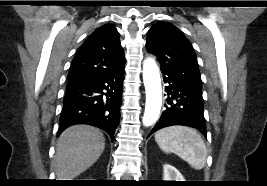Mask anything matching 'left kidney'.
Wrapping results in <instances>:
<instances>
[{"label":"left kidney","mask_w":267,"mask_h":186,"mask_svg":"<svg viewBox=\"0 0 267 186\" xmlns=\"http://www.w3.org/2000/svg\"><path fill=\"white\" fill-rule=\"evenodd\" d=\"M163 170V181H184V178L181 173L172 165H164Z\"/></svg>","instance_id":"left-kidney-1"}]
</instances>
